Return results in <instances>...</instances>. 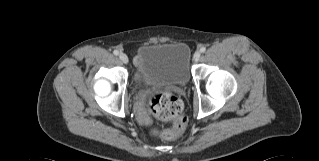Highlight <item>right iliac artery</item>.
I'll return each instance as SVG.
<instances>
[{"mask_svg":"<svg viewBox=\"0 0 319 161\" xmlns=\"http://www.w3.org/2000/svg\"><path fill=\"white\" fill-rule=\"evenodd\" d=\"M113 54L117 56V55L119 54V51L114 50V51H113Z\"/></svg>","mask_w":319,"mask_h":161,"instance_id":"1","label":"right iliac artery"}]
</instances>
